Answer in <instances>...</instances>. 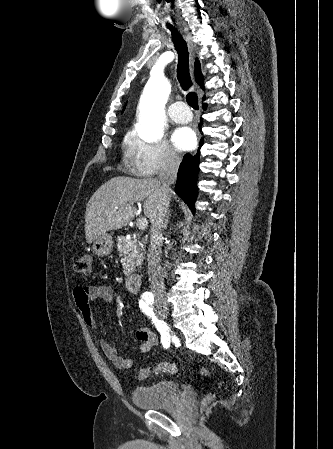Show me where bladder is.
<instances>
[{"mask_svg":"<svg viewBox=\"0 0 333 449\" xmlns=\"http://www.w3.org/2000/svg\"><path fill=\"white\" fill-rule=\"evenodd\" d=\"M181 388L174 381H160L134 388L132 402L144 410H158L173 406L180 398Z\"/></svg>","mask_w":333,"mask_h":449,"instance_id":"1","label":"bladder"}]
</instances>
